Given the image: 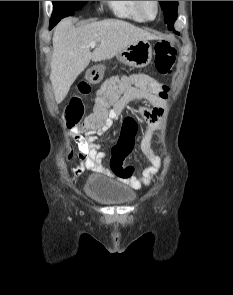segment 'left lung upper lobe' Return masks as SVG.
I'll list each match as a JSON object with an SVG mask.
<instances>
[{"mask_svg": "<svg viewBox=\"0 0 233 295\" xmlns=\"http://www.w3.org/2000/svg\"><path fill=\"white\" fill-rule=\"evenodd\" d=\"M164 12V21L168 25L169 30L173 28V24L177 18L178 1H159Z\"/></svg>", "mask_w": 233, "mask_h": 295, "instance_id": "left-lung-upper-lobe-1", "label": "left lung upper lobe"}]
</instances>
